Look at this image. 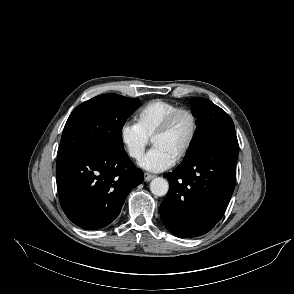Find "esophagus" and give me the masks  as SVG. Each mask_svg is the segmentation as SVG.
Listing matches in <instances>:
<instances>
[{
  "label": "esophagus",
  "mask_w": 294,
  "mask_h": 294,
  "mask_svg": "<svg viewBox=\"0 0 294 294\" xmlns=\"http://www.w3.org/2000/svg\"><path fill=\"white\" fill-rule=\"evenodd\" d=\"M156 176L155 175H152V174H149V173H144V180L146 182L152 180L153 178H155Z\"/></svg>",
  "instance_id": "1"
}]
</instances>
